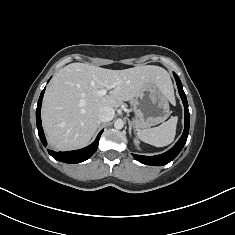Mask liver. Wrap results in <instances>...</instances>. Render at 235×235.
I'll return each mask as SVG.
<instances>
[{"label": "liver", "instance_id": "obj_1", "mask_svg": "<svg viewBox=\"0 0 235 235\" xmlns=\"http://www.w3.org/2000/svg\"><path fill=\"white\" fill-rule=\"evenodd\" d=\"M156 83L169 100L174 99L168 72L154 65L111 70L87 63H71L62 68L46 89L42 123L48 143L57 150L85 146L100 126L102 107H120L132 101L149 84ZM114 87L108 95L97 91Z\"/></svg>", "mask_w": 235, "mask_h": 235}]
</instances>
